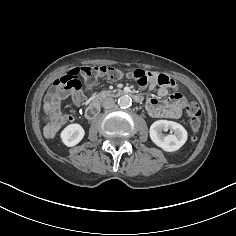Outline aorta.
<instances>
[{
    "label": "aorta",
    "instance_id": "1",
    "mask_svg": "<svg viewBox=\"0 0 236 236\" xmlns=\"http://www.w3.org/2000/svg\"><path fill=\"white\" fill-rule=\"evenodd\" d=\"M118 105L121 108H129L132 105V99L128 95H123L118 99Z\"/></svg>",
    "mask_w": 236,
    "mask_h": 236
}]
</instances>
